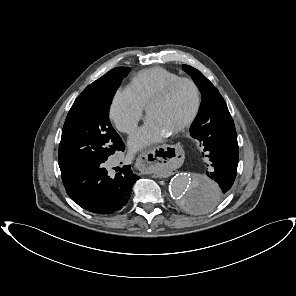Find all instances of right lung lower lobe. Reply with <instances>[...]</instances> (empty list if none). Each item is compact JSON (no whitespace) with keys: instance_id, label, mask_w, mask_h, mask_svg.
<instances>
[{"instance_id":"98d812e1","label":"right lung lower lobe","mask_w":296,"mask_h":296,"mask_svg":"<svg viewBox=\"0 0 296 296\" xmlns=\"http://www.w3.org/2000/svg\"><path fill=\"white\" fill-rule=\"evenodd\" d=\"M106 160L61 174L68 196L83 209L96 214H113L121 210L129 200L133 184L140 179L133 174L130 165L123 166L111 178L105 168Z\"/></svg>"}]
</instances>
